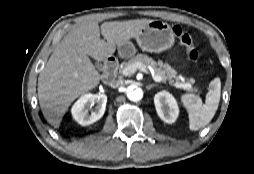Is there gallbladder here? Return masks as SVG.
Masks as SVG:
<instances>
[{
	"instance_id": "obj_1",
	"label": "gallbladder",
	"mask_w": 254,
	"mask_h": 174,
	"mask_svg": "<svg viewBox=\"0 0 254 174\" xmlns=\"http://www.w3.org/2000/svg\"><path fill=\"white\" fill-rule=\"evenodd\" d=\"M96 68L100 69L101 64L99 62H95Z\"/></svg>"
}]
</instances>
